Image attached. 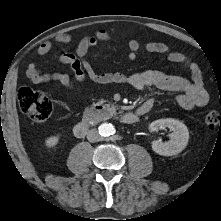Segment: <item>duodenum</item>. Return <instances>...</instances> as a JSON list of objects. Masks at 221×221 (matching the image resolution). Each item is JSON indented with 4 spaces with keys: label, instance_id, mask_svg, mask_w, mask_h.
I'll use <instances>...</instances> for the list:
<instances>
[{
    "label": "duodenum",
    "instance_id": "410a0bca",
    "mask_svg": "<svg viewBox=\"0 0 221 221\" xmlns=\"http://www.w3.org/2000/svg\"><path fill=\"white\" fill-rule=\"evenodd\" d=\"M96 108L100 109L101 107H96ZM97 109H95V111H97ZM141 114L142 113L140 112H126L121 116L120 120L123 124H126V125L135 124L139 119V115ZM90 125L91 124L89 120L78 122L74 126V130H73L75 137L77 138L85 137L89 131Z\"/></svg>",
    "mask_w": 221,
    "mask_h": 221
}]
</instances>
